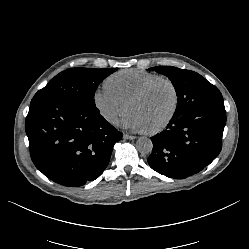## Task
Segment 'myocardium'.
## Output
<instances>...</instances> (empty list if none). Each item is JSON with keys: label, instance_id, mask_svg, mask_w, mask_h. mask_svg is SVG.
Returning <instances> with one entry per match:
<instances>
[{"label": "myocardium", "instance_id": "obj_1", "mask_svg": "<svg viewBox=\"0 0 249 249\" xmlns=\"http://www.w3.org/2000/svg\"><path fill=\"white\" fill-rule=\"evenodd\" d=\"M161 83H166L168 84L173 92L174 95V104H173V108L170 112V114L155 128L149 129L146 131V133L148 134H157L162 132L163 130H165L174 120L178 109H179V105H180V94H179V90L177 85L175 84V82L168 78V77H159L156 78L154 80L149 81L148 83H146L144 86H142L138 91H136L128 100L127 105L129 107V105L135 101L140 99L141 97L145 96L151 89H153L155 86H157L158 84Z\"/></svg>", "mask_w": 249, "mask_h": 249}]
</instances>
